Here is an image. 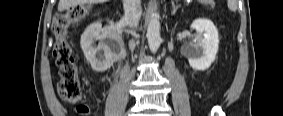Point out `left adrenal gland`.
I'll use <instances>...</instances> for the list:
<instances>
[{
  "label": "left adrenal gland",
  "mask_w": 283,
  "mask_h": 116,
  "mask_svg": "<svg viewBox=\"0 0 283 116\" xmlns=\"http://www.w3.org/2000/svg\"><path fill=\"white\" fill-rule=\"evenodd\" d=\"M178 5H175V3L174 2H172V15H175V13H176V11L178 10Z\"/></svg>",
  "instance_id": "obj_1"
}]
</instances>
